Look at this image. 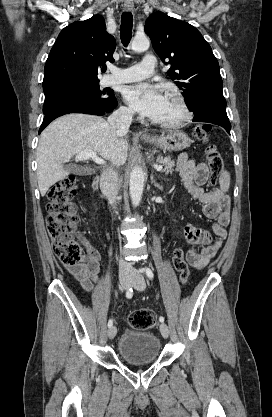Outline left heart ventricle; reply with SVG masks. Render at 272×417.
Here are the masks:
<instances>
[{"mask_svg": "<svg viewBox=\"0 0 272 417\" xmlns=\"http://www.w3.org/2000/svg\"><path fill=\"white\" fill-rule=\"evenodd\" d=\"M182 112L179 105L170 97H166L164 107L155 121L169 122L181 117Z\"/></svg>", "mask_w": 272, "mask_h": 417, "instance_id": "b2bd125f", "label": "left heart ventricle"}]
</instances>
